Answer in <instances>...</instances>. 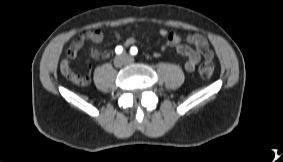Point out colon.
I'll use <instances>...</instances> for the list:
<instances>
[{"instance_id": "colon-1", "label": "colon", "mask_w": 283, "mask_h": 162, "mask_svg": "<svg viewBox=\"0 0 283 162\" xmlns=\"http://www.w3.org/2000/svg\"><path fill=\"white\" fill-rule=\"evenodd\" d=\"M215 72V62L212 58H206L199 66V74L204 79H209L213 76ZM61 73L71 80L72 82L79 85H86L90 81V75L88 73L85 74H74L71 71H61Z\"/></svg>"}]
</instances>
